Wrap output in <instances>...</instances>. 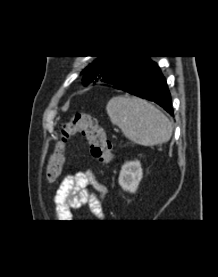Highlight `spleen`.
<instances>
[{"label": "spleen", "instance_id": "spleen-1", "mask_svg": "<svg viewBox=\"0 0 218 277\" xmlns=\"http://www.w3.org/2000/svg\"><path fill=\"white\" fill-rule=\"evenodd\" d=\"M112 124L136 144L154 146L167 142L172 136L170 120L147 101L129 96L110 99L106 106Z\"/></svg>", "mask_w": 218, "mask_h": 277}]
</instances>
